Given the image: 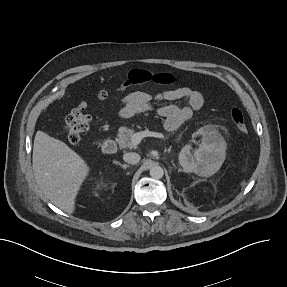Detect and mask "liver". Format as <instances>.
Wrapping results in <instances>:
<instances>
[{
  "label": "liver",
  "mask_w": 287,
  "mask_h": 287,
  "mask_svg": "<svg viewBox=\"0 0 287 287\" xmlns=\"http://www.w3.org/2000/svg\"><path fill=\"white\" fill-rule=\"evenodd\" d=\"M90 171L85 160L66 143L37 131L33 147L35 180L47 199L72 214L80 187Z\"/></svg>",
  "instance_id": "obj_1"
}]
</instances>
